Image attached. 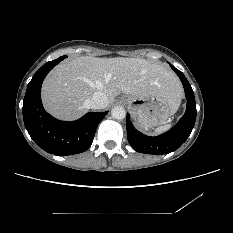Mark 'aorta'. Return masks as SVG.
<instances>
[{"instance_id": "762f6f07", "label": "aorta", "mask_w": 233, "mask_h": 233, "mask_svg": "<svg viewBox=\"0 0 233 233\" xmlns=\"http://www.w3.org/2000/svg\"><path fill=\"white\" fill-rule=\"evenodd\" d=\"M111 115L114 119L122 120L126 117V111L121 106H116L111 110Z\"/></svg>"}]
</instances>
